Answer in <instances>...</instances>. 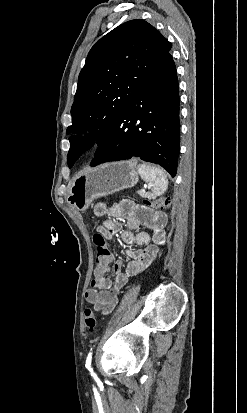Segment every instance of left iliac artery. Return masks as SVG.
Here are the masks:
<instances>
[{"label":"left iliac artery","instance_id":"1","mask_svg":"<svg viewBox=\"0 0 247 413\" xmlns=\"http://www.w3.org/2000/svg\"><path fill=\"white\" fill-rule=\"evenodd\" d=\"M91 360H92V352H89L87 359H86V364H85L87 369H91Z\"/></svg>","mask_w":247,"mask_h":413}]
</instances>
